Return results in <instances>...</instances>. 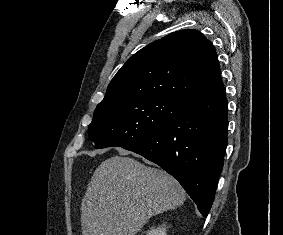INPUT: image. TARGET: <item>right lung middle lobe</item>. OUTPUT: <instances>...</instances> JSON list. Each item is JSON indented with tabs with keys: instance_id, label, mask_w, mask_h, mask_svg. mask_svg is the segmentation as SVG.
<instances>
[{
	"instance_id": "dd1d6c3e",
	"label": "right lung middle lobe",
	"mask_w": 283,
	"mask_h": 235,
	"mask_svg": "<svg viewBox=\"0 0 283 235\" xmlns=\"http://www.w3.org/2000/svg\"><path fill=\"white\" fill-rule=\"evenodd\" d=\"M182 102L168 97H132L98 105L88 135L96 148L125 147L166 127Z\"/></svg>"
}]
</instances>
